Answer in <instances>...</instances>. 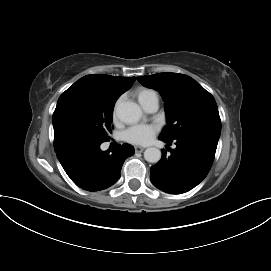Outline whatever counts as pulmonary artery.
<instances>
[{
	"mask_svg": "<svg viewBox=\"0 0 271 271\" xmlns=\"http://www.w3.org/2000/svg\"><path fill=\"white\" fill-rule=\"evenodd\" d=\"M158 106H159L158 96L156 93H154L147 102V104L144 106V109L149 113H153L157 111Z\"/></svg>",
	"mask_w": 271,
	"mask_h": 271,
	"instance_id": "e3ab8cb5",
	"label": "pulmonary artery"
}]
</instances>
